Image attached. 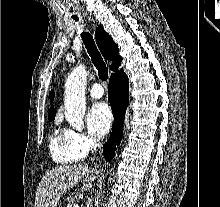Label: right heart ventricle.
Masks as SVG:
<instances>
[{
	"instance_id": "e07e8e85",
	"label": "right heart ventricle",
	"mask_w": 220,
	"mask_h": 207,
	"mask_svg": "<svg viewBox=\"0 0 220 207\" xmlns=\"http://www.w3.org/2000/svg\"><path fill=\"white\" fill-rule=\"evenodd\" d=\"M49 149L52 159L62 165L76 163L86 154L74 143L68 130L60 128L52 133Z\"/></svg>"
}]
</instances>
